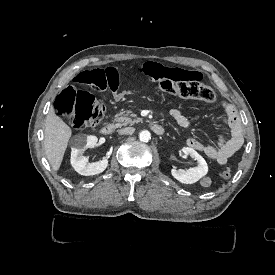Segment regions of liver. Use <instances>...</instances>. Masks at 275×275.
<instances>
[{
    "label": "liver",
    "instance_id": "6515ba94",
    "mask_svg": "<svg viewBox=\"0 0 275 275\" xmlns=\"http://www.w3.org/2000/svg\"><path fill=\"white\" fill-rule=\"evenodd\" d=\"M44 148L47 159L54 171L60 168L68 141L71 137V128L55 114L51 107L45 121Z\"/></svg>",
    "mask_w": 275,
    "mask_h": 275
}]
</instances>
